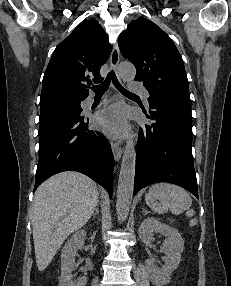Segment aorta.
<instances>
[{
    "instance_id": "1",
    "label": "aorta",
    "mask_w": 231,
    "mask_h": 286,
    "mask_svg": "<svg viewBox=\"0 0 231 286\" xmlns=\"http://www.w3.org/2000/svg\"><path fill=\"white\" fill-rule=\"evenodd\" d=\"M118 74L125 82L135 78L136 69L131 63H122L118 67ZM136 166V150L133 138L126 141L121 162V169L117 188V215L118 220L123 222L129 213L134 190V177Z\"/></svg>"
}]
</instances>
